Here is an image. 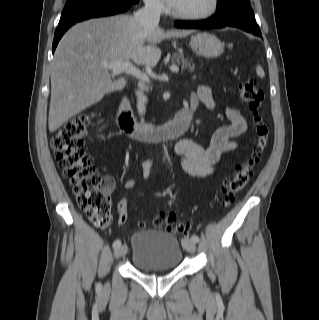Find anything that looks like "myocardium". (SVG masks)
<instances>
[{"instance_id":"1","label":"myocardium","mask_w":319,"mask_h":320,"mask_svg":"<svg viewBox=\"0 0 319 320\" xmlns=\"http://www.w3.org/2000/svg\"><path fill=\"white\" fill-rule=\"evenodd\" d=\"M219 7V0H210L209 7L198 13H181L177 10H172V15L178 19L186 20V21H196V20H203L211 17L215 14Z\"/></svg>"}]
</instances>
